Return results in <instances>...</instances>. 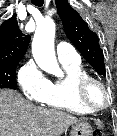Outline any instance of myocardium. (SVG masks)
I'll return each instance as SVG.
<instances>
[{"label": "myocardium", "mask_w": 117, "mask_h": 136, "mask_svg": "<svg viewBox=\"0 0 117 136\" xmlns=\"http://www.w3.org/2000/svg\"><path fill=\"white\" fill-rule=\"evenodd\" d=\"M92 85H97L103 92L105 100L101 105L93 104L89 99V89ZM75 96L77 101L87 110L96 113L106 109L111 103L112 97L105 84L90 75H85L78 78L74 85Z\"/></svg>", "instance_id": "1"}]
</instances>
